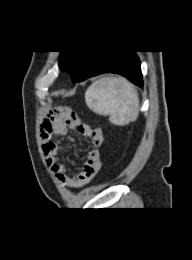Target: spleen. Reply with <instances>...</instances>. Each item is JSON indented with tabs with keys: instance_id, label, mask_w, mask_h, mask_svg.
Instances as JSON below:
<instances>
[{
	"instance_id": "spleen-1",
	"label": "spleen",
	"mask_w": 192,
	"mask_h": 260,
	"mask_svg": "<svg viewBox=\"0 0 192 260\" xmlns=\"http://www.w3.org/2000/svg\"><path fill=\"white\" fill-rule=\"evenodd\" d=\"M88 108L94 113L109 116L116 126H125L139 115V97L134 86L123 77H102L85 92Z\"/></svg>"
}]
</instances>
